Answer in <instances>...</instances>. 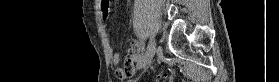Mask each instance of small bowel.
<instances>
[{"label": "small bowel", "mask_w": 279, "mask_h": 82, "mask_svg": "<svg viewBox=\"0 0 279 82\" xmlns=\"http://www.w3.org/2000/svg\"><path fill=\"white\" fill-rule=\"evenodd\" d=\"M98 7L102 13L104 19L109 17L110 13V1L109 0H99ZM108 50L110 51V59L114 65H118L120 63L121 56L118 52H112L110 44L107 45ZM141 52V45L138 43H134L130 45L127 50L124 63V68H117L116 69V76L119 79H125L128 77V73L134 70V66L136 61L138 60V56Z\"/></svg>", "instance_id": "c3829d8e"}]
</instances>
